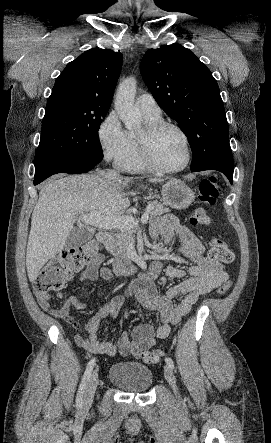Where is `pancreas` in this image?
<instances>
[{
  "instance_id": "obj_1",
  "label": "pancreas",
  "mask_w": 271,
  "mask_h": 443,
  "mask_svg": "<svg viewBox=\"0 0 271 443\" xmlns=\"http://www.w3.org/2000/svg\"><path fill=\"white\" fill-rule=\"evenodd\" d=\"M148 206H151L150 218H155V216H162L169 212L168 208H164V204H158V202H148ZM135 229L132 227H127V229H119L117 233L112 235L111 239H108L105 243L107 251L113 253L114 257H120V259H127L126 257V247H128L129 241L133 239Z\"/></svg>"
}]
</instances>
